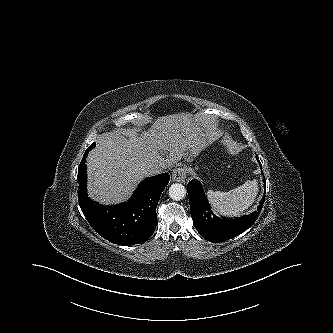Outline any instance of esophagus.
Returning a JSON list of instances; mask_svg holds the SVG:
<instances>
[{
  "label": "esophagus",
  "instance_id": "esophagus-1",
  "mask_svg": "<svg viewBox=\"0 0 333 333\" xmlns=\"http://www.w3.org/2000/svg\"><path fill=\"white\" fill-rule=\"evenodd\" d=\"M186 178V170L182 167H176L172 171V181L183 182Z\"/></svg>",
  "mask_w": 333,
  "mask_h": 333
}]
</instances>
